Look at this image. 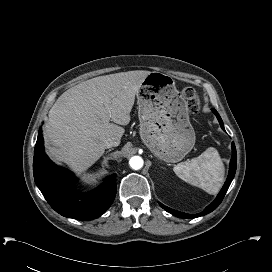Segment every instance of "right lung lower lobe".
<instances>
[{
	"instance_id": "98d812e1",
	"label": "right lung lower lobe",
	"mask_w": 272,
	"mask_h": 272,
	"mask_svg": "<svg viewBox=\"0 0 272 272\" xmlns=\"http://www.w3.org/2000/svg\"><path fill=\"white\" fill-rule=\"evenodd\" d=\"M33 174L47 202L65 217L96 219L111 206L116 195V174L107 177L104 183L90 192H77L74 175L56 166L45 154L41 128L35 145Z\"/></svg>"
}]
</instances>
